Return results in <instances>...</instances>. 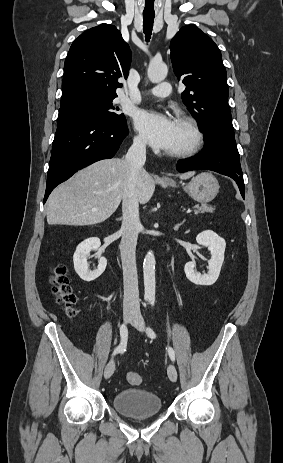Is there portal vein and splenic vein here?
I'll list each match as a JSON object with an SVG mask.
<instances>
[{
	"mask_svg": "<svg viewBox=\"0 0 283 463\" xmlns=\"http://www.w3.org/2000/svg\"><path fill=\"white\" fill-rule=\"evenodd\" d=\"M190 212H192V210H190V209H188V210L186 211V213H190Z\"/></svg>",
	"mask_w": 283,
	"mask_h": 463,
	"instance_id": "1",
	"label": "portal vein and splenic vein"
}]
</instances>
